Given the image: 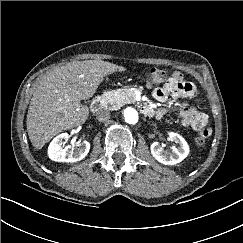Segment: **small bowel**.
Listing matches in <instances>:
<instances>
[{"label":"small bowel","mask_w":243,"mask_h":243,"mask_svg":"<svg viewBox=\"0 0 243 243\" xmlns=\"http://www.w3.org/2000/svg\"><path fill=\"white\" fill-rule=\"evenodd\" d=\"M197 94L195 85L186 81L180 72L172 73L162 86L156 87L152 92L153 98L159 102H165L170 98H194L197 97ZM167 112L165 108H158L155 115L161 119ZM178 112L185 127L193 129L205 138L211 135L212 130L208 126L207 117L204 113L191 106H182L178 109Z\"/></svg>","instance_id":"c3829d8e"}]
</instances>
